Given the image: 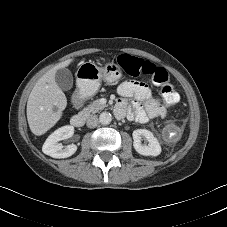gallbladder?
I'll return each mask as SVG.
<instances>
[{
  "label": "gallbladder",
  "instance_id": "obj_1",
  "mask_svg": "<svg viewBox=\"0 0 227 227\" xmlns=\"http://www.w3.org/2000/svg\"><path fill=\"white\" fill-rule=\"evenodd\" d=\"M55 81L62 90H70L73 86V75L70 70L62 68L57 70Z\"/></svg>",
  "mask_w": 227,
  "mask_h": 227
}]
</instances>
